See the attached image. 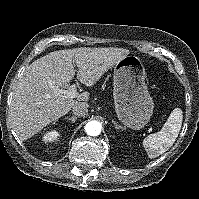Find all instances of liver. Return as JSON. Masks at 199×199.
<instances>
[{
    "instance_id": "liver-1",
    "label": "liver",
    "mask_w": 199,
    "mask_h": 199,
    "mask_svg": "<svg viewBox=\"0 0 199 199\" xmlns=\"http://www.w3.org/2000/svg\"><path fill=\"white\" fill-rule=\"evenodd\" d=\"M123 48H77L51 52L32 62L19 78L13 92L10 116L21 140H27L51 122L67 114L74 105L88 106L89 93L76 99L61 94L75 76L93 86L101 76L129 54Z\"/></svg>"
}]
</instances>
